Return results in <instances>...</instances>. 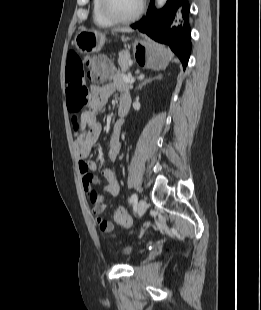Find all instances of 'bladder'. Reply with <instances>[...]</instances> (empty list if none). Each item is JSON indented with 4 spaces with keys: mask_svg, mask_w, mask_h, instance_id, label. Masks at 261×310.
Here are the masks:
<instances>
[{
    "mask_svg": "<svg viewBox=\"0 0 261 310\" xmlns=\"http://www.w3.org/2000/svg\"><path fill=\"white\" fill-rule=\"evenodd\" d=\"M133 251V248L129 245L123 246L120 250L121 255L129 256Z\"/></svg>",
    "mask_w": 261,
    "mask_h": 310,
    "instance_id": "bladder-1",
    "label": "bladder"
}]
</instances>
